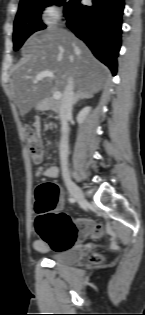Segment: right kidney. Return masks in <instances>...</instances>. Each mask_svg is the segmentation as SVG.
Listing matches in <instances>:
<instances>
[{"label":"right kidney","mask_w":145,"mask_h":315,"mask_svg":"<svg viewBox=\"0 0 145 315\" xmlns=\"http://www.w3.org/2000/svg\"><path fill=\"white\" fill-rule=\"evenodd\" d=\"M90 110H91V107H85L79 112V114L77 116V122L79 124H81L84 121V119L86 118V116L88 115Z\"/></svg>","instance_id":"1"}]
</instances>
